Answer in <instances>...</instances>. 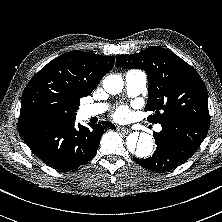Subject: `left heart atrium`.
<instances>
[{"label": "left heart atrium", "instance_id": "1", "mask_svg": "<svg viewBox=\"0 0 222 222\" xmlns=\"http://www.w3.org/2000/svg\"><path fill=\"white\" fill-rule=\"evenodd\" d=\"M129 115L130 111L127 107H120L116 110L113 116L117 121H124L129 117Z\"/></svg>", "mask_w": 222, "mask_h": 222}]
</instances>
